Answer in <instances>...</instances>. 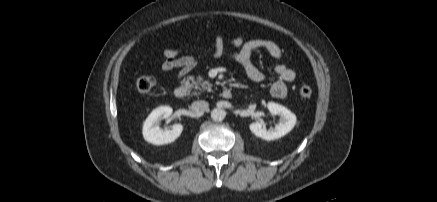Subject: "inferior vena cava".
<instances>
[{"instance_id":"1","label":"inferior vena cava","mask_w":437,"mask_h":202,"mask_svg":"<svg viewBox=\"0 0 437 202\" xmlns=\"http://www.w3.org/2000/svg\"><path fill=\"white\" fill-rule=\"evenodd\" d=\"M209 107L208 102L200 100L195 101L191 105V111L195 116H202Z\"/></svg>"}]
</instances>
